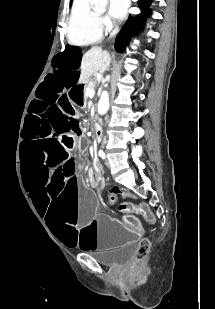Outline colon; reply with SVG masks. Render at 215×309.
I'll use <instances>...</instances> for the list:
<instances>
[{
	"label": "colon",
	"mask_w": 215,
	"mask_h": 309,
	"mask_svg": "<svg viewBox=\"0 0 215 309\" xmlns=\"http://www.w3.org/2000/svg\"><path fill=\"white\" fill-rule=\"evenodd\" d=\"M117 192L112 190L109 194V200L113 204L115 202ZM150 249V241L147 238L141 239L137 243L136 258L138 261H144Z\"/></svg>",
	"instance_id": "5ec220e1"
}]
</instances>
